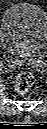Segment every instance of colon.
<instances>
[{"instance_id":"5ec220e1","label":"colon","mask_w":47,"mask_h":129,"mask_svg":"<svg viewBox=\"0 0 47 129\" xmlns=\"http://www.w3.org/2000/svg\"><path fill=\"white\" fill-rule=\"evenodd\" d=\"M33 85V77L28 72L19 74L14 81V88L19 93H27Z\"/></svg>"}]
</instances>
